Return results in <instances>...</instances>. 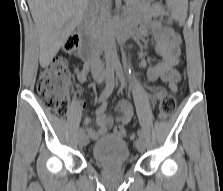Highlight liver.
I'll use <instances>...</instances> for the list:
<instances>
[{
    "label": "liver",
    "mask_w": 223,
    "mask_h": 191,
    "mask_svg": "<svg viewBox=\"0 0 223 191\" xmlns=\"http://www.w3.org/2000/svg\"><path fill=\"white\" fill-rule=\"evenodd\" d=\"M89 0H28L39 36V62L48 66L81 21Z\"/></svg>",
    "instance_id": "6515ba94"
}]
</instances>
